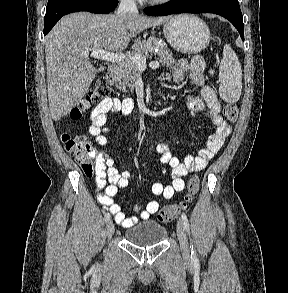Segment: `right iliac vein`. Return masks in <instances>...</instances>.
Wrapping results in <instances>:
<instances>
[{"mask_svg":"<svg viewBox=\"0 0 288 293\" xmlns=\"http://www.w3.org/2000/svg\"><path fill=\"white\" fill-rule=\"evenodd\" d=\"M114 223L112 220H108L107 224H106V232H107V236L108 238H111L114 234Z\"/></svg>","mask_w":288,"mask_h":293,"instance_id":"obj_1","label":"right iliac vein"}]
</instances>
